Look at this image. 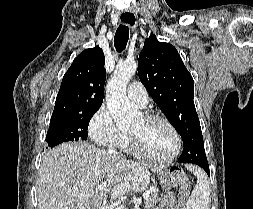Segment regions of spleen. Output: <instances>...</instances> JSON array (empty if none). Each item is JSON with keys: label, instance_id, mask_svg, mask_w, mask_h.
<instances>
[{"label": "spleen", "instance_id": "1", "mask_svg": "<svg viewBox=\"0 0 253 209\" xmlns=\"http://www.w3.org/2000/svg\"><path fill=\"white\" fill-rule=\"evenodd\" d=\"M188 168L197 177V183L186 203V209H209L210 187L207 175L199 167L188 166Z\"/></svg>", "mask_w": 253, "mask_h": 209}]
</instances>
